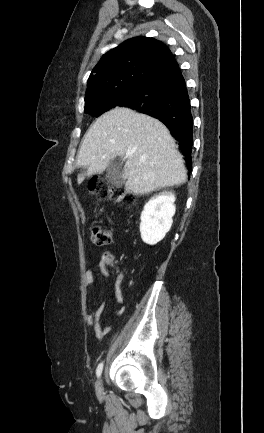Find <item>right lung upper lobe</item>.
<instances>
[{
	"mask_svg": "<svg viewBox=\"0 0 264 433\" xmlns=\"http://www.w3.org/2000/svg\"><path fill=\"white\" fill-rule=\"evenodd\" d=\"M172 56L167 46L154 38L140 36L129 39L102 56L89 76L85 99L142 85Z\"/></svg>",
	"mask_w": 264,
	"mask_h": 433,
	"instance_id": "cb5924a9",
	"label": "right lung upper lobe"
}]
</instances>
